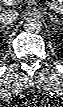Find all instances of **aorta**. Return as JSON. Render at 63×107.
Here are the masks:
<instances>
[{"label": "aorta", "mask_w": 63, "mask_h": 107, "mask_svg": "<svg viewBox=\"0 0 63 107\" xmlns=\"http://www.w3.org/2000/svg\"><path fill=\"white\" fill-rule=\"evenodd\" d=\"M24 29L27 32L37 33L42 29V22L37 16H29L25 20Z\"/></svg>", "instance_id": "obj_1"}]
</instances>
